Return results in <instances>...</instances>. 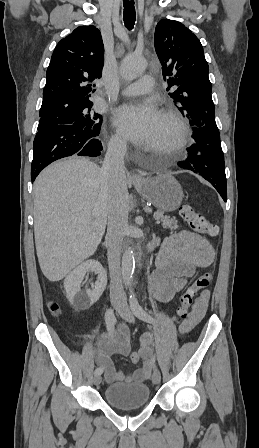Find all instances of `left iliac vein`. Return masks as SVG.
<instances>
[{"mask_svg":"<svg viewBox=\"0 0 259 448\" xmlns=\"http://www.w3.org/2000/svg\"><path fill=\"white\" fill-rule=\"evenodd\" d=\"M116 310L124 320L128 321L129 323H134L133 313L131 312L127 302L124 299H121L118 302ZM160 380H161V374L160 371L156 368L152 375V382L154 384H158Z\"/></svg>","mask_w":259,"mask_h":448,"instance_id":"obj_1","label":"left iliac vein"}]
</instances>
